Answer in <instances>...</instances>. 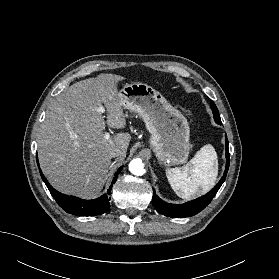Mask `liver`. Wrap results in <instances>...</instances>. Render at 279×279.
Returning a JSON list of instances; mask_svg holds the SVG:
<instances>
[{"label": "liver", "mask_w": 279, "mask_h": 279, "mask_svg": "<svg viewBox=\"0 0 279 279\" xmlns=\"http://www.w3.org/2000/svg\"><path fill=\"white\" fill-rule=\"evenodd\" d=\"M124 77L100 74L74 83L51 103L40 126L37 143L41 169L58 191L91 199L102 190L111 167L110 151L119 149L123 161L131 140L118 133L106 140V124L126 125L117 88ZM106 107V121L99 108ZM104 108V107H103Z\"/></svg>", "instance_id": "obj_1"}]
</instances>
